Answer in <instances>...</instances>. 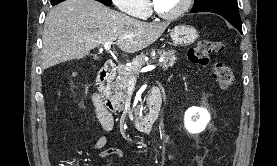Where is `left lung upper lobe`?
Here are the masks:
<instances>
[{"label": "left lung upper lobe", "mask_w": 277, "mask_h": 166, "mask_svg": "<svg viewBox=\"0 0 277 166\" xmlns=\"http://www.w3.org/2000/svg\"><path fill=\"white\" fill-rule=\"evenodd\" d=\"M213 9L238 11L237 0H195L191 12H201Z\"/></svg>", "instance_id": "1"}]
</instances>
